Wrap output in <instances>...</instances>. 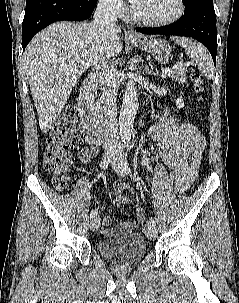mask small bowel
<instances>
[{
	"label": "small bowel",
	"mask_w": 239,
	"mask_h": 303,
	"mask_svg": "<svg viewBox=\"0 0 239 303\" xmlns=\"http://www.w3.org/2000/svg\"><path fill=\"white\" fill-rule=\"evenodd\" d=\"M148 141L156 143L160 148V157L170 169V178L174 182L175 190H187L198 175L199 165L206 146L204 136L191 124L178 123L169 115L164 114L160 121L151 126L148 131ZM85 142L88 146L80 151V160L89 163L97 154L100 140L93 135H86ZM143 162L147 163V151H142ZM125 187L122 183L114 185L115 192L119 194ZM142 218V215L139 214ZM110 216L101 218V234L111 238L115 234H128L136 222L125 221L115 228H110Z\"/></svg>",
	"instance_id": "1"
}]
</instances>
